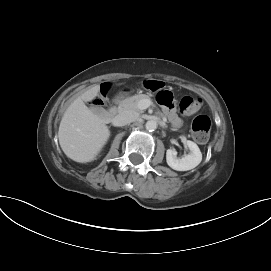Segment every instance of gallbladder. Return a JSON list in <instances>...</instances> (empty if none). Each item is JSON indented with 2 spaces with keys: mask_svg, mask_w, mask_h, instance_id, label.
Segmentation results:
<instances>
[{
  "mask_svg": "<svg viewBox=\"0 0 271 271\" xmlns=\"http://www.w3.org/2000/svg\"><path fill=\"white\" fill-rule=\"evenodd\" d=\"M91 110L98 115L100 118L103 117L105 115V111L104 109L97 107V106H93L91 107Z\"/></svg>",
  "mask_w": 271,
  "mask_h": 271,
  "instance_id": "obj_1",
  "label": "gallbladder"
}]
</instances>
